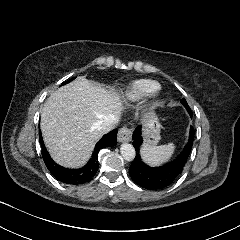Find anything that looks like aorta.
Wrapping results in <instances>:
<instances>
[{
	"label": "aorta",
	"instance_id": "1",
	"mask_svg": "<svg viewBox=\"0 0 240 240\" xmlns=\"http://www.w3.org/2000/svg\"><path fill=\"white\" fill-rule=\"evenodd\" d=\"M120 153L126 160H132L135 157V150L132 144L124 142L120 145Z\"/></svg>",
	"mask_w": 240,
	"mask_h": 240
}]
</instances>
